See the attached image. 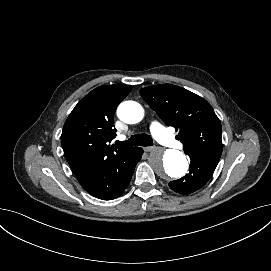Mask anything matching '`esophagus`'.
<instances>
[{
    "instance_id": "obj_1",
    "label": "esophagus",
    "mask_w": 271,
    "mask_h": 271,
    "mask_svg": "<svg viewBox=\"0 0 271 271\" xmlns=\"http://www.w3.org/2000/svg\"><path fill=\"white\" fill-rule=\"evenodd\" d=\"M156 148L157 147H155V146H151V147L147 146V147H144L143 149L145 152H152V151L156 150Z\"/></svg>"
}]
</instances>
